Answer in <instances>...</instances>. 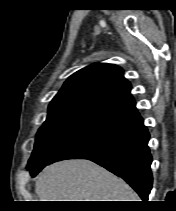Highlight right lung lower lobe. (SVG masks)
Listing matches in <instances>:
<instances>
[{
    "label": "right lung lower lobe",
    "mask_w": 176,
    "mask_h": 211,
    "mask_svg": "<svg viewBox=\"0 0 176 211\" xmlns=\"http://www.w3.org/2000/svg\"><path fill=\"white\" fill-rule=\"evenodd\" d=\"M149 137L138 111H129L98 123L46 165L64 159H89L124 179L146 202L153 182ZM43 167L31 175L36 176Z\"/></svg>",
    "instance_id": "98d812e1"
}]
</instances>
